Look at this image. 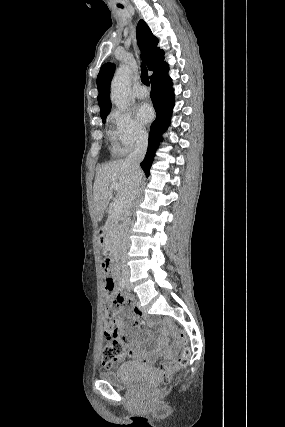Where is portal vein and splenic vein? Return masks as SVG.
<instances>
[{
  "label": "portal vein and splenic vein",
  "instance_id": "18ae733b",
  "mask_svg": "<svg viewBox=\"0 0 285 427\" xmlns=\"http://www.w3.org/2000/svg\"><path fill=\"white\" fill-rule=\"evenodd\" d=\"M117 184H112L111 185V189L116 190L117 189ZM123 208V201L121 199H117L114 201L113 204V211L115 214H118Z\"/></svg>",
  "mask_w": 285,
  "mask_h": 427
}]
</instances>
